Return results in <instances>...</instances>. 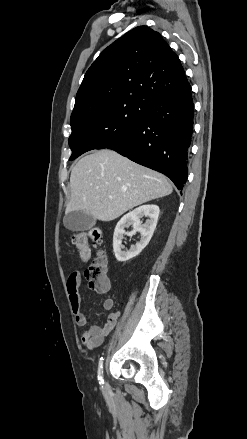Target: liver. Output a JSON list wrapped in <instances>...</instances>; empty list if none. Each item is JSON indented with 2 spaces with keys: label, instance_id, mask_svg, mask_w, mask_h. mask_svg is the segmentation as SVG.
Instances as JSON below:
<instances>
[{
  "label": "liver",
  "instance_id": "6515ba94",
  "mask_svg": "<svg viewBox=\"0 0 247 439\" xmlns=\"http://www.w3.org/2000/svg\"><path fill=\"white\" fill-rule=\"evenodd\" d=\"M70 187L66 213L80 210L101 221L114 220L173 190L163 174L109 149L81 158L72 168Z\"/></svg>",
  "mask_w": 247,
  "mask_h": 439
}]
</instances>
